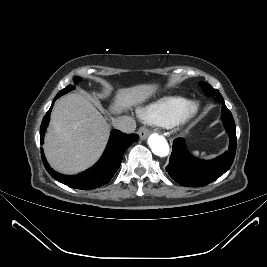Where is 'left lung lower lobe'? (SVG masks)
I'll use <instances>...</instances> for the list:
<instances>
[{"label":"left lung lower lobe","mask_w":267,"mask_h":267,"mask_svg":"<svg viewBox=\"0 0 267 267\" xmlns=\"http://www.w3.org/2000/svg\"><path fill=\"white\" fill-rule=\"evenodd\" d=\"M209 91L210 88H205L206 94L210 95ZM222 120L230 136V145L226 153L214 160H198L186 151L182 138L173 141V151L165 169L174 181L187 187L205 186L215 181L231 167L235 157L237 139L234 119L225 105L222 107Z\"/></svg>","instance_id":"left-lung-lower-lobe-1"}]
</instances>
